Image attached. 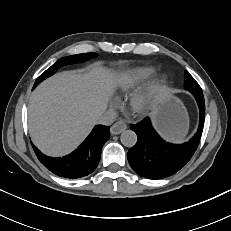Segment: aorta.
<instances>
[{"label":"aorta","mask_w":231,"mask_h":231,"mask_svg":"<svg viewBox=\"0 0 231 231\" xmlns=\"http://www.w3.org/2000/svg\"><path fill=\"white\" fill-rule=\"evenodd\" d=\"M121 143L126 147H133L137 142V135L132 130H125L120 136Z\"/></svg>","instance_id":"762f6f07"}]
</instances>
